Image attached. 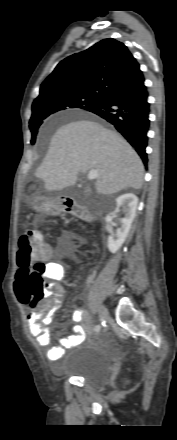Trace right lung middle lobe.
I'll return each instance as SVG.
<instances>
[{
	"label": "right lung middle lobe",
	"mask_w": 177,
	"mask_h": 440,
	"mask_svg": "<svg viewBox=\"0 0 177 440\" xmlns=\"http://www.w3.org/2000/svg\"><path fill=\"white\" fill-rule=\"evenodd\" d=\"M102 97V94L68 93L57 97L43 105L32 107V116L29 121V128L32 133L31 144L35 143L38 129L43 123V120L49 115L70 108H80L87 110L98 103L102 99Z\"/></svg>",
	"instance_id": "dd1d6c3e"
}]
</instances>
